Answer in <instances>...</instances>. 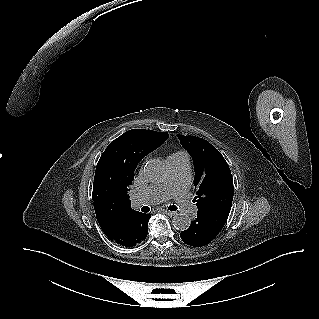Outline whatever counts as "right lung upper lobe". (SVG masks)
<instances>
[{"mask_svg":"<svg viewBox=\"0 0 319 319\" xmlns=\"http://www.w3.org/2000/svg\"><path fill=\"white\" fill-rule=\"evenodd\" d=\"M168 137V132L132 129L112 141L106 149L123 152L128 160L137 166L141 159L162 145ZM127 193L106 201L94 202L97 221L110 239L114 238L123 224L138 212L131 208Z\"/></svg>","mask_w":319,"mask_h":319,"instance_id":"obj_1","label":"right lung upper lobe"}]
</instances>
